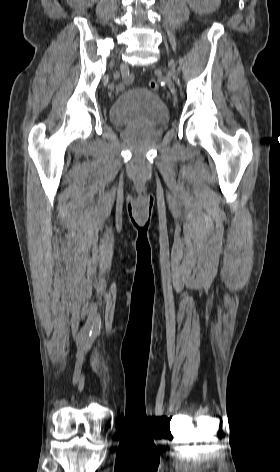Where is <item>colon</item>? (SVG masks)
Masks as SVG:
<instances>
[{
    "instance_id": "obj_1",
    "label": "colon",
    "mask_w": 280,
    "mask_h": 472,
    "mask_svg": "<svg viewBox=\"0 0 280 472\" xmlns=\"http://www.w3.org/2000/svg\"><path fill=\"white\" fill-rule=\"evenodd\" d=\"M148 85H149V87H150L152 90H156V89H158V87H159V84H158V82H157L155 79L149 80Z\"/></svg>"
}]
</instances>
